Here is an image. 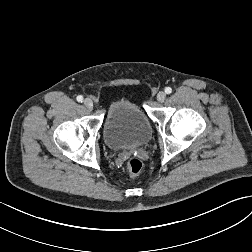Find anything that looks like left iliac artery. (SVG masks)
<instances>
[{"mask_svg":"<svg viewBox=\"0 0 252 252\" xmlns=\"http://www.w3.org/2000/svg\"><path fill=\"white\" fill-rule=\"evenodd\" d=\"M165 92H166L167 94H170V93L172 92V89H171L170 87H166V88H165Z\"/></svg>","mask_w":252,"mask_h":252,"instance_id":"1","label":"left iliac artery"}]
</instances>
